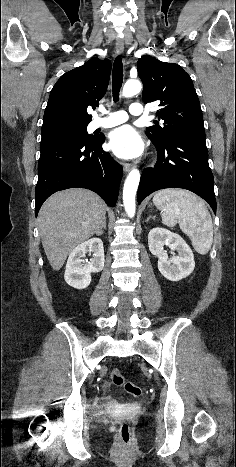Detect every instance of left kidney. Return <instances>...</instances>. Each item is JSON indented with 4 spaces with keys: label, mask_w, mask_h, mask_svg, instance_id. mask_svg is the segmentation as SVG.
Wrapping results in <instances>:
<instances>
[{
    "label": "left kidney",
    "mask_w": 236,
    "mask_h": 467,
    "mask_svg": "<svg viewBox=\"0 0 236 467\" xmlns=\"http://www.w3.org/2000/svg\"><path fill=\"white\" fill-rule=\"evenodd\" d=\"M149 250L158 256V269L170 281L188 277L195 268L194 255L181 236L164 228H153L148 234ZM164 245L177 251L178 255L168 258Z\"/></svg>",
    "instance_id": "obj_1"
}]
</instances>
